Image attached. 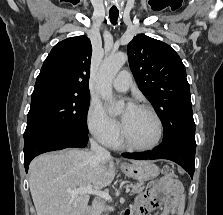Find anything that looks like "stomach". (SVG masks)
<instances>
[{
    "instance_id": "stomach-1",
    "label": "stomach",
    "mask_w": 223,
    "mask_h": 215,
    "mask_svg": "<svg viewBox=\"0 0 223 215\" xmlns=\"http://www.w3.org/2000/svg\"><path fill=\"white\" fill-rule=\"evenodd\" d=\"M120 169H122L125 175L128 177H133V179H143L147 181V179H154L159 175V167L155 165L153 161H138V163H125V165H121Z\"/></svg>"
}]
</instances>
